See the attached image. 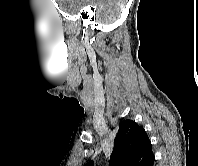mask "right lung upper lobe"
<instances>
[{"label": "right lung upper lobe", "mask_w": 198, "mask_h": 166, "mask_svg": "<svg viewBox=\"0 0 198 166\" xmlns=\"http://www.w3.org/2000/svg\"><path fill=\"white\" fill-rule=\"evenodd\" d=\"M152 156L151 142L145 130L135 121L124 120L115 137L110 166H144ZM86 166H93V161Z\"/></svg>", "instance_id": "obj_1"}]
</instances>
